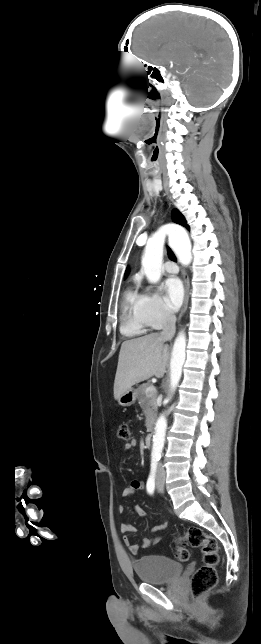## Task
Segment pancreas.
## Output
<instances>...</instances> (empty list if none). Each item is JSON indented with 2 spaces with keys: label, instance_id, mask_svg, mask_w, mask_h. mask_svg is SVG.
Masks as SVG:
<instances>
[{
  "label": "pancreas",
  "instance_id": "cf45deb5",
  "mask_svg": "<svg viewBox=\"0 0 261 644\" xmlns=\"http://www.w3.org/2000/svg\"><path fill=\"white\" fill-rule=\"evenodd\" d=\"M149 386H151V384L144 383L140 385L137 389V398L139 401V405L146 417L147 431H150L152 429V426L156 418V412H157V404H156L157 393L156 391H154L151 394H146V388Z\"/></svg>",
  "mask_w": 261,
  "mask_h": 644
}]
</instances>
